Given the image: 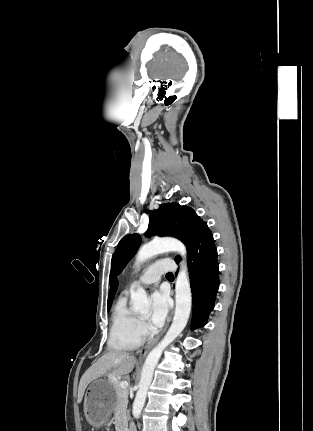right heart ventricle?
<instances>
[{
	"label": "right heart ventricle",
	"mask_w": 313,
	"mask_h": 431,
	"mask_svg": "<svg viewBox=\"0 0 313 431\" xmlns=\"http://www.w3.org/2000/svg\"><path fill=\"white\" fill-rule=\"evenodd\" d=\"M139 317L125 299H120L113 311L109 346L115 350H132L143 342L138 330Z\"/></svg>",
	"instance_id": "obj_1"
}]
</instances>
